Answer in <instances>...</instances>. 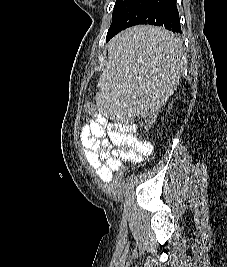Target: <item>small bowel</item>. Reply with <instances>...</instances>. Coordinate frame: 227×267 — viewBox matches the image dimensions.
Listing matches in <instances>:
<instances>
[{
	"instance_id": "small-bowel-1",
	"label": "small bowel",
	"mask_w": 227,
	"mask_h": 267,
	"mask_svg": "<svg viewBox=\"0 0 227 267\" xmlns=\"http://www.w3.org/2000/svg\"><path fill=\"white\" fill-rule=\"evenodd\" d=\"M136 124H118L106 129L105 120L96 115L81 130L82 151L87 163L95 169L104 183H109L112 173L121 168L130 156L136 163L152 152V145L137 135ZM114 149H110V146Z\"/></svg>"
}]
</instances>
